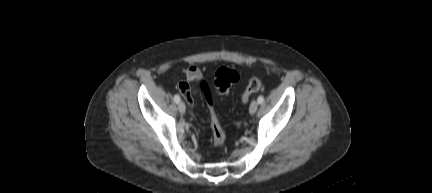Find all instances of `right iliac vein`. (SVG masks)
Instances as JSON below:
<instances>
[{
    "mask_svg": "<svg viewBox=\"0 0 432 193\" xmlns=\"http://www.w3.org/2000/svg\"><path fill=\"white\" fill-rule=\"evenodd\" d=\"M178 110H179V112L180 113H185V111H186V106H185V103L184 102H179V104H178Z\"/></svg>",
    "mask_w": 432,
    "mask_h": 193,
    "instance_id": "obj_1",
    "label": "right iliac vein"
}]
</instances>
